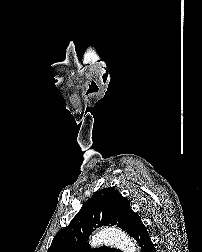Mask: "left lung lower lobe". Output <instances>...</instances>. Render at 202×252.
Instances as JSON below:
<instances>
[{
  "instance_id": "0a47b994",
  "label": "left lung lower lobe",
  "mask_w": 202,
  "mask_h": 252,
  "mask_svg": "<svg viewBox=\"0 0 202 252\" xmlns=\"http://www.w3.org/2000/svg\"><path fill=\"white\" fill-rule=\"evenodd\" d=\"M133 237L140 246L141 252H156L146 227L139 221L134 228Z\"/></svg>"
}]
</instances>
